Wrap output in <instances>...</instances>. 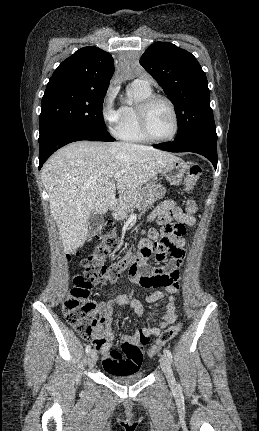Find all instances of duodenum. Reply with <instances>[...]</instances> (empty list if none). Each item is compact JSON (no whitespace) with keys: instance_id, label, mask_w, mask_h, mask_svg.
Wrapping results in <instances>:
<instances>
[{"instance_id":"1","label":"duodenum","mask_w":259,"mask_h":431,"mask_svg":"<svg viewBox=\"0 0 259 431\" xmlns=\"http://www.w3.org/2000/svg\"><path fill=\"white\" fill-rule=\"evenodd\" d=\"M120 205H121L120 201L114 200L113 203H112V205H111V209L113 211H117L119 209Z\"/></svg>"}]
</instances>
